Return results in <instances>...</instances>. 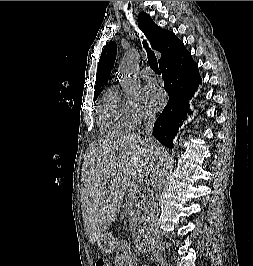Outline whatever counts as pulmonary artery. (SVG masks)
Listing matches in <instances>:
<instances>
[{"label": "pulmonary artery", "instance_id": "obj_1", "mask_svg": "<svg viewBox=\"0 0 253 266\" xmlns=\"http://www.w3.org/2000/svg\"><path fill=\"white\" fill-rule=\"evenodd\" d=\"M141 76L146 80V81H153L155 80V73L150 67H145L141 71Z\"/></svg>", "mask_w": 253, "mask_h": 266}]
</instances>
